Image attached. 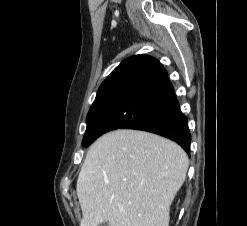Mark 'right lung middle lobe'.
Here are the masks:
<instances>
[{
    "label": "right lung middle lobe",
    "instance_id": "1",
    "mask_svg": "<svg viewBox=\"0 0 247 226\" xmlns=\"http://www.w3.org/2000/svg\"><path fill=\"white\" fill-rule=\"evenodd\" d=\"M122 70L121 66H118L114 69V71L102 82L96 98L90 107V110L87 115L86 123H87V129L83 138L82 144L85 145L88 140L91 138L94 126L96 125L101 112L112 92L114 89L117 80L119 78L120 72Z\"/></svg>",
    "mask_w": 247,
    "mask_h": 226
}]
</instances>
